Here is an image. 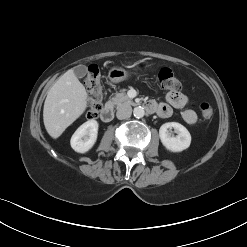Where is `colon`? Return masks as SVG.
I'll return each instance as SVG.
<instances>
[{
  "mask_svg": "<svg viewBox=\"0 0 247 247\" xmlns=\"http://www.w3.org/2000/svg\"><path fill=\"white\" fill-rule=\"evenodd\" d=\"M158 83L161 88L176 92L181 89V82L174 72L167 68H161L157 75ZM86 87L89 93L87 116L95 118L100 113L103 104V92L101 86L100 71L97 66L91 65L85 79ZM201 116L204 119H210L213 110L208 103H202L199 106Z\"/></svg>",
  "mask_w": 247,
  "mask_h": 247,
  "instance_id": "5ec220e1",
  "label": "colon"
}]
</instances>
